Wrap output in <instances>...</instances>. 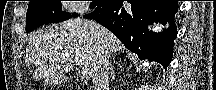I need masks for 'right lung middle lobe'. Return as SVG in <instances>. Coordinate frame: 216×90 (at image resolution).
<instances>
[{"label": "right lung middle lobe", "instance_id": "right-lung-middle-lobe-1", "mask_svg": "<svg viewBox=\"0 0 216 90\" xmlns=\"http://www.w3.org/2000/svg\"><path fill=\"white\" fill-rule=\"evenodd\" d=\"M100 3H91L90 7L94 8ZM61 8L60 1H30L26 14V32H31L47 23L62 22L78 15L64 12Z\"/></svg>", "mask_w": 216, "mask_h": 90}]
</instances>
